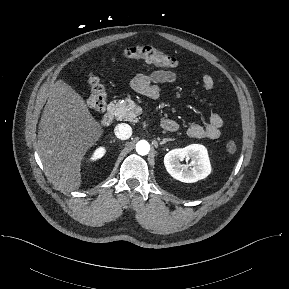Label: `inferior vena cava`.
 I'll use <instances>...</instances> for the list:
<instances>
[{
    "label": "inferior vena cava",
    "instance_id": "inferior-vena-cava-1",
    "mask_svg": "<svg viewBox=\"0 0 289 289\" xmlns=\"http://www.w3.org/2000/svg\"><path fill=\"white\" fill-rule=\"evenodd\" d=\"M115 135L120 140H126L132 135V128L130 125L121 123L118 124L114 129Z\"/></svg>",
    "mask_w": 289,
    "mask_h": 289
}]
</instances>
